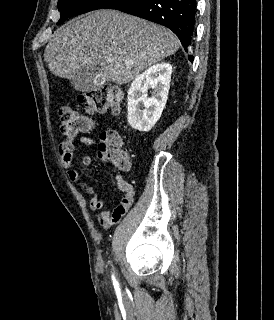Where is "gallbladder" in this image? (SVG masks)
Returning a JSON list of instances; mask_svg holds the SVG:
<instances>
[{
    "instance_id": "1",
    "label": "gallbladder",
    "mask_w": 274,
    "mask_h": 320,
    "mask_svg": "<svg viewBox=\"0 0 274 320\" xmlns=\"http://www.w3.org/2000/svg\"><path fill=\"white\" fill-rule=\"evenodd\" d=\"M72 86L79 92H89V90H101V85L106 84L104 73L100 68H76L72 74Z\"/></svg>"
}]
</instances>
